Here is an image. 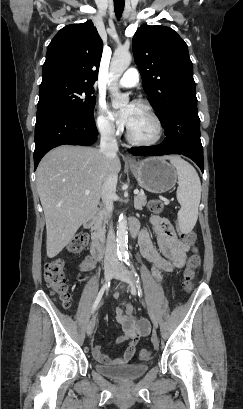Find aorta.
Instances as JSON below:
<instances>
[{"mask_svg":"<svg viewBox=\"0 0 243 409\" xmlns=\"http://www.w3.org/2000/svg\"><path fill=\"white\" fill-rule=\"evenodd\" d=\"M132 60L129 51H116L113 55L110 65V80L108 83V89L111 95V103L114 108L124 107L129 102V96L121 93L117 84L118 79L123 72L128 68ZM117 254L119 258H125L128 256L127 243V220L123 214L120 215L117 225Z\"/></svg>","mask_w":243,"mask_h":409,"instance_id":"aorta-1","label":"aorta"}]
</instances>
